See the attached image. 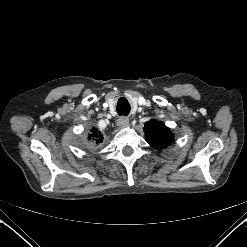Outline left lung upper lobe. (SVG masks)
<instances>
[{
	"label": "left lung upper lobe",
	"mask_w": 247,
	"mask_h": 247,
	"mask_svg": "<svg viewBox=\"0 0 247 247\" xmlns=\"http://www.w3.org/2000/svg\"><path fill=\"white\" fill-rule=\"evenodd\" d=\"M144 132L146 134V141L157 150H161L172 141V134L164 123L157 120H150L145 124Z\"/></svg>",
	"instance_id": "5c2ea615"
}]
</instances>
